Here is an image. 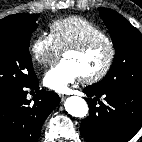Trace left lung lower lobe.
<instances>
[{
	"label": "left lung lower lobe",
	"mask_w": 142,
	"mask_h": 142,
	"mask_svg": "<svg viewBox=\"0 0 142 142\" xmlns=\"http://www.w3.org/2000/svg\"><path fill=\"white\" fill-rule=\"evenodd\" d=\"M84 92L89 116L81 131L87 142H128L142 126V91L111 88L99 90L88 86ZM103 95L105 102L97 100Z\"/></svg>",
	"instance_id": "left-lung-lower-lobe-1"
}]
</instances>
